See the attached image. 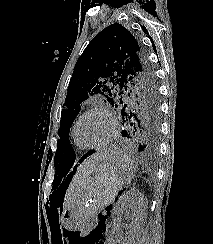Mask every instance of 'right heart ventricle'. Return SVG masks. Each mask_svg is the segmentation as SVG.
I'll return each mask as SVG.
<instances>
[{"instance_id":"right-heart-ventricle-1","label":"right heart ventricle","mask_w":213,"mask_h":244,"mask_svg":"<svg viewBox=\"0 0 213 244\" xmlns=\"http://www.w3.org/2000/svg\"><path fill=\"white\" fill-rule=\"evenodd\" d=\"M71 137H72V140H73L74 144H75L78 148H81V147L78 145V143L74 140V138H73V136H72V131H71Z\"/></svg>"}]
</instances>
